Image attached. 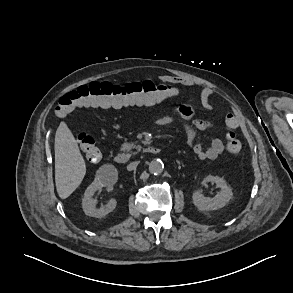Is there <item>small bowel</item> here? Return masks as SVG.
Segmentation results:
<instances>
[{
  "mask_svg": "<svg viewBox=\"0 0 293 293\" xmlns=\"http://www.w3.org/2000/svg\"><path fill=\"white\" fill-rule=\"evenodd\" d=\"M162 81L168 83H181L184 85H190V83L186 80H183L179 77L163 75L160 77ZM213 95V90L209 87L204 88L200 94V100L202 106L206 110H212V104L210 99ZM161 101H143L139 103H135L137 106H154L159 104ZM115 108V107H114ZM177 119H181L183 121L188 144L191 147L194 154L200 160H214L218 158L225 150V144L220 138H214L210 145L207 147L202 146L200 143L196 142L198 131L206 130L212 128V124L209 122L202 120L196 116L195 111L186 105H178L176 106L170 113L160 115L154 119V124L158 126L168 125L174 122Z\"/></svg>",
  "mask_w": 293,
  "mask_h": 293,
  "instance_id": "small-bowel-1",
  "label": "small bowel"
}]
</instances>
